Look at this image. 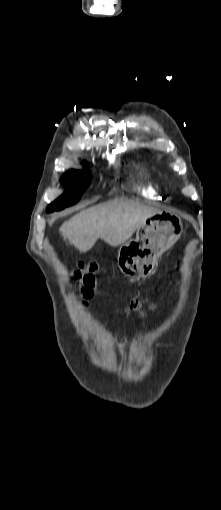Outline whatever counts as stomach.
Listing matches in <instances>:
<instances>
[{"mask_svg": "<svg viewBox=\"0 0 221 510\" xmlns=\"http://www.w3.org/2000/svg\"><path fill=\"white\" fill-rule=\"evenodd\" d=\"M181 218L168 211L148 217L138 228L136 238L121 245L118 266L130 280L148 276L158 258L181 236Z\"/></svg>", "mask_w": 221, "mask_h": 510, "instance_id": "obj_1", "label": "stomach"}]
</instances>
